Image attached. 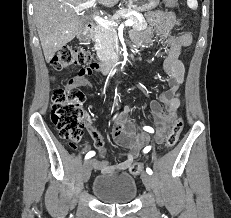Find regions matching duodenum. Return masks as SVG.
Listing matches in <instances>:
<instances>
[{
    "instance_id": "obj_1",
    "label": "duodenum",
    "mask_w": 231,
    "mask_h": 218,
    "mask_svg": "<svg viewBox=\"0 0 231 218\" xmlns=\"http://www.w3.org/2000/svg\"><path fill=\"white\" fill-rule=\"evenodd\" d=\"M95 32V25L93 23H88L84 27L83 31L80 33L79 38L81 40L89 39ZM128 63V58L122 52H115L110 55H106L99 63L98 69L106 74L114 68L125 65Z\"/></svg>"
}]
</instances>
